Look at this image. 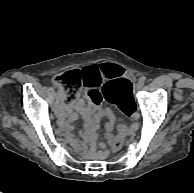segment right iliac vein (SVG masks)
<instances>
[{"instance_id":"63e3f726","label":"right iliac vein","mask_w":194,"mask_h":193,"mask_svg":"<svg viewBox=\"0 0 194 193\" xmlns=\"http://www.w3.org/2000/svg\"><path fill=\"white\" fill-rule=\"evenodd\" d=\"M58 98H59L60 101L62 100V98H63V90L58 92ZM57 116H60L59 112H57Z\"/></svg>"}]
</instances>
